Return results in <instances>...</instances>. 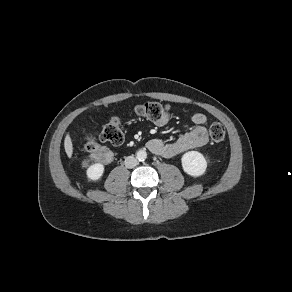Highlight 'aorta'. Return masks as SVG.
<instances>
[{"instance_id":"obj_1","label":"aorta","mask_w":292,"mask_h":292,"mask_svg":"<svg viewBox=\"0 0 292 292\" xmlns=\"http://www.w3.org/2000/svg\"><path fill=\"white\" fill-rule=\"evenodd\" d=\"M136 157L139 161H144L147 158V153L145 150H139L136 153Z\"/></svg>"}]
</instances>
